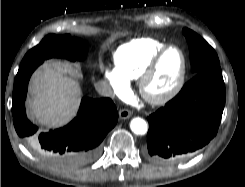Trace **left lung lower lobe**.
Masks as SVG:
<instances>
[{
  "label": "left lung lower lobe",
  "mask_w": 245,
  "mask_h": 187,
  "mask_svg": "<svg viewBox=\"0 0 245 187\" xmlns=\"http://www.w3.org/2000/svg\"><path fill=\"white\" fill-rule=\"evenodd\" d=\"M224 105L220 66L197 73L174 99L147 118V157L169 164L193 155L216 135Z\"/></svg>",
  "instance_id": "left-lung-lower-lobe-1"
}]
</instances>
